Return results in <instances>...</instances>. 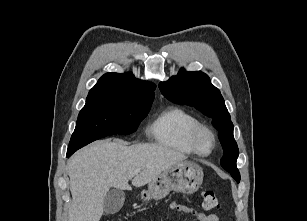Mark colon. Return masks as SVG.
I'll list each match as a JSON object with an SVG mask.
<instances>
[{"mask_svg":"<svg viewBox=\"0 0 307 221\" xmlns=\"http://www.w3.org/2000/svg\"><path fill=\"white\" fill-rule=\"evenodd\" d=\"M202 206L207 209H219L220 201L213 191L203 190L201 193Z\"/></svg>","mask_w":307,"mask_h":221,"instance_id":"5ec220e1","label":"colon"}]
</instances>
